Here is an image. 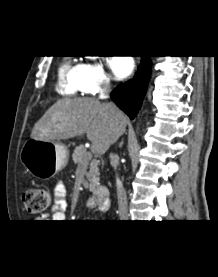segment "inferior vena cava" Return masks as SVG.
<instances>
[{"label":"inferior vena cava","instance_id":"inferior-vena-cava-1","mask_svg":"<svg viewBox=\"0 0 218 277\" xmlns=\"http://www.w3.org/2000/svg\"><path fill=\"white\" fill-rule=\"evenodd\" d=\"M109 93H110L109 83L103 82L101 85L99 98L107 99L109 98ZM107 104L111 108L116 107L113 103H107ZM116 190H117L119 217L122 221H125L126 219H128L127 196H126V191L123 187V184L118 177L116 178Z\"/></svg>","mask_w":218,"mask_h":277}]
</instances>
